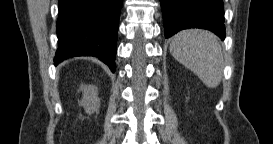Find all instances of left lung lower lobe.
Segmentation results:
<instances>
[{"mask_svg":"<svg viewBox=\"0 0 273 144\" xmlns=\"http://www.w3.org/2000/svg\"><path fill=\"white\" fill-rule=\"evenodd\" d=\"M165 38L188 28H203L225 38L222 0H160Z\"/></svg>","mask_w":273,"mask_h":144,"instance_id":"1","label":"left lung lower lobe"}]
</instances>
